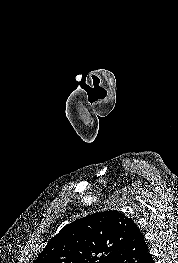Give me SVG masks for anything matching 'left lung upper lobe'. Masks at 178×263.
<instances>
[{
  "label": "left lung upper lobe",
  "instance_id": "1",
  "mask_svg": "<svg viewBox=\"0 0 178 263\" xmlns=\"http://www.w3.org/2000/svg\"><path fill=\"white\" fill-rule=\"evenodd\" d=\"M134 221L116 210L67 224L34 263H112Z\"/></svg>",
  "mask_w": 178,
  "mask_h": 263
}]
</instances>
